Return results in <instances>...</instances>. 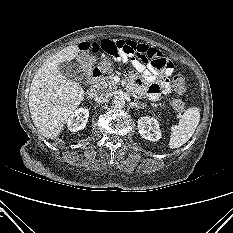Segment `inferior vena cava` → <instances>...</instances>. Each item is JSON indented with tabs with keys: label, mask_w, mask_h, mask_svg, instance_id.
<instances>
[{
	"label": "inferior vena cava",
	"mask_w": 233,
	"mask_h": 233,
	"mask_svg": "<svg viewBox=\"0 0 233 233\" xmlns=\"http://www.w3.org/2000/svg\"><path fill=\"white\" fill-rule=\"evenodd\" d=\"M108 98H109L108 93L100 92L95 95L94 100L97 103H103V102H106Z\"/></svg>",
	"instance_id": "602c4592"
}]
</instances>
